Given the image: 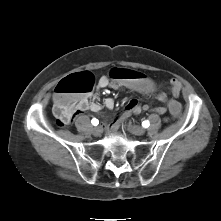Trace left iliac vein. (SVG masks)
<instances>
[{
	"mask_svg": "<svg viewBox=\"0 0 221 221\" xmlns=\"http://www.w3.org/2000/svg\"><path fill=\"white\" fill-rule=\"evenodd\" d=\"M127 129L128 131H130L132 134L134 135H144L146 130L143 127L137 126V125H133V124H128L127 125Z\"/></svg>",
	"mask_w": 221,
	"mask_h": 221,
	"instance_id": "1",
	"label": "left iliac vein"
}]
</instances>
